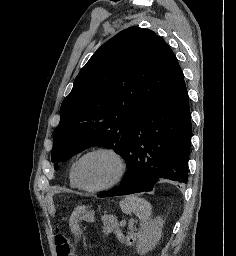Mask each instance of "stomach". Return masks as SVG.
Masks as SVG:
<instances>
[{
  "label": "stomach",
  "instance_id": "stomach-1",
  "mask_svg": "<svg viewBox=\"0 0 236 256\" xmlns=\"http://www.w3.org/2000/svg\"><path fill=\"white\" fill-rule=\"evenodd\" d=\"M94 211L89 209L86 206H78L74 209L71 217H70V227L71 231L74 235L80 236L82 234L79 226V222L81 220L87 222L94 221Z\"/></svg>",
  "mask_w": 236,
  "mask_h": 256
}]
</instances>
